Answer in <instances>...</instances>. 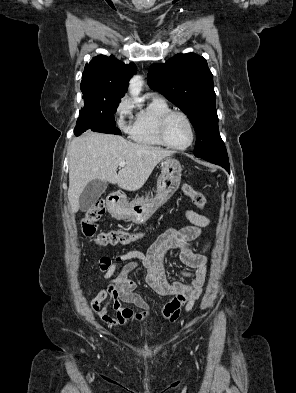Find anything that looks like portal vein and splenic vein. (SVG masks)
<instances>
[{
	"instance_id": "obj_1",
	"label": "portal vein and splenic vein",
	"mask_w": 296,
	"mask_h": 393,
	"mask_svg": "<svg viewBox=\"0 0 296 393\" xmlns=\"http://www.w3.org/2000/svg\"><path fill=\"white\" fill-rule=\"evenodd\" d=\"M125 165H126V162H125V161L119 162V167H124Z\"/></svg>"
}]
</instances>
